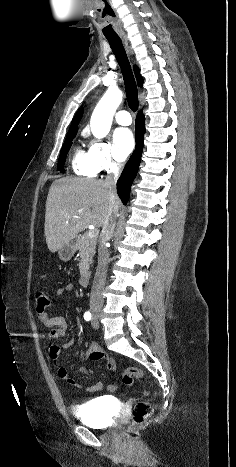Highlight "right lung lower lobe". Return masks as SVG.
Returning <instances> with one entry per match:
<instances>
[{
	"mask_svg": "<svg viewBox=\"0 0 236 467\" xmlns=\"http://www.w3.org/2000/svg\"><path fill=\"white\" fill-rule=\"evenodd\" d=\"M144 115L140 111L136 117V149L130 157L129 161L125 165V168L117 181V193L124 205L127 204L130 194V187L137 174L138 167L141 160L142 148H143V135L145 133Z\"/></svg>",
	"mask_w": 236,
	"mask_h": 467,
	"instance_id": "obj_1",
	"label": "right lung lower lobe"
}]
</instances>
